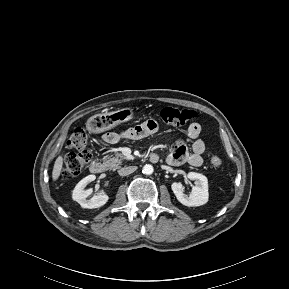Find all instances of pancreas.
<instances>
[{
    "label": "pancreas",
    "mask_w": 289,
    "mask_h": 289,
    "mask_svg": "<svg viewBox=\"0 0 289 289\" xmlns=\"http://www.w3.org/2000/svg\"><path fill=\"white\" fill-rule=\"evenodd\" d=\"M125 159L126 157L123 156L121 153H116L114 156L104 158V164L108 167V169L116 170L120 168V165H122Z\"/></svg>",
    "instance_id": "1"
}]
</instances>
